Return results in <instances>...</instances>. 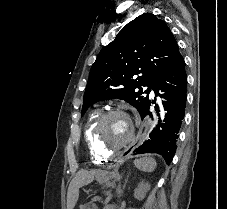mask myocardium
<instances>
[{
	"mask_svg": "<svg viewBox=\"0 0 227 209\" xmlns=\"http://www.w3.org/2000/svg\"><path fill=\"white\" fill-rule=\"evenodd\" d=\"M115 115H122L127 118V120L129 121L130 127H131V133H130L129 138L126 141H124L121 144H118L116 146L109 147L106 145V143L102 139V129H103L105 122L110 117L115 116ZM135 134H136V132H135V127H134L133 123L131 122L128 115L120 109H109V110H106L105 112H102L95 122L94 131H93L94 142H95L96 146L103 154H106L109 156H112V155L120 152L122 149L126 148L131 143V141L134 139Z\"/></svg>",
	"mask_w": 227,
	"mask_h": 209,
	"instance_id": "obj_1",
	"label": "myocardium"
}]
</instances>
